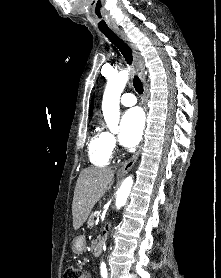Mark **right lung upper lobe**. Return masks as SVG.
<instances>
[{
    "label": "right lung upper lobe",
    "mask_w": 221,
    "mask_h": 278,
    "mask_svg": "<svg viewBox=\"0 0 221 278\" xmlns=\"http://www.w3.org/2000/svg\"><path fill=\"white\" fill-rule=\"evenodd\" d=\"M93 103H94V97L92 98L91 105H90V114H92L93 111Z\"/></svg>",
    "instance_id": "1"
}]
</instances>
